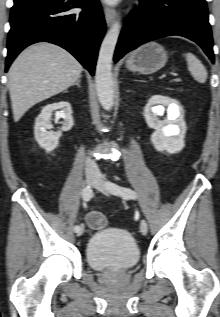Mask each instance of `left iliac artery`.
I'll return each instance as SVG.
<instances>
[{
  "instance_id": "left-iliac-artery-1",
  "label": "left iliac artery",
  "mask_w": 220,
  "mask_h": 317,
  "mask_svg": "<svg viewBox=\"0 0 220 317\" xmlns=\"http://www.w3.org/2000/svg\"><path fill=\"white\" fill-rule=\"evenodd\" d=\"M107 186L111 193L121 196L124 199L137 198V194L130 188L122 187L112 182H107Z\"/></svg>"
}]
</instances>
